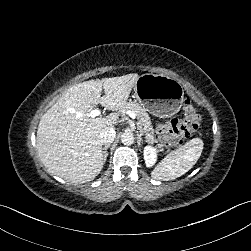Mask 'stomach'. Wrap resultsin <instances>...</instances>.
<instances>
[{
  "mask_svg": "<svg viewBox=\"0 0 251 251\" xmlns=\"http://www.w3.org/2000/svg\"><path fill=\"white\" fill-rule=\"evenodd\" d=\"M142 107L151 114L169 117L181 107L184 91L181 84L166 75H140L131 90Z\"/></svg>",
  "mask_w": 251,
  "mask_h": 251,
  "instance_id": "1",
  "label": "stomach"
}]
</instances>
